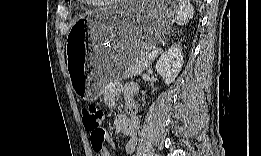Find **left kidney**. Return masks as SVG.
I'll return each mask as SVG.
<instances>
[{
	"label": "left kidney",
	"instance_id": "obj_1",
	"mask_svg": "<svg viewBox=\"0 0 261 156\" xmlns=\"http://www.w3.org/2000/svg\"><path fill=\"white\" fill-rule=\"evenodd\" d=\"M183 65L182 49L174 46L161 55L156 63V71L159 73L165 84L169 85L174 82L181 71Z\"/></svg>",
	"mask_w": 261,
	"mask_h": 156
}]
</instances>
